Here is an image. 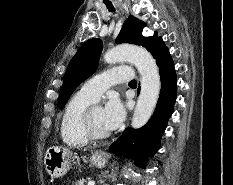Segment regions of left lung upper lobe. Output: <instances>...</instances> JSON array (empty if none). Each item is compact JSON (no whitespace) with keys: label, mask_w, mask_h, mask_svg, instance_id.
<instances>
[{"label":"left lung upper lobe","mask_w":233,"mask_h":185,"mask_svg":"<svg viewBox=\"0 0 233 185\" xmlns=\"http://www.w3.org/2000/svg\"><path fill=\"white\" fill-rule=\"evenodd\" d=\"M144 27L145 24L143 22L133 16H129L116 38V43L141 45L151 52L161 38L157 36L156 32L152 37H144L142 35ZM101 50V40L90 39L86 41L74 55L64 76L59 95L58 108H63L76 87L96 70Z\"/></svg>","instance_id":"5c2ea615"}]
</instances>
